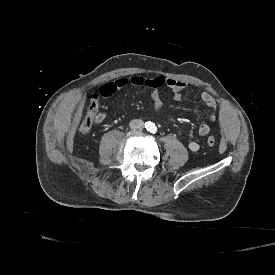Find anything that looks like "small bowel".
<instances>
[{"label":"small bowel","instance_id":"obj_1","mask_svg":"<svg viewBox=\"0 0 275 275\" xmlns=\"http://www.w3.org/2000/svg\"><path fill=\"white\" fill-rule=\"evenodd\" d=\"M160 82V85H166L170 87L173 92H174V97L173 99L175 101H179L182 97V91L186 88V83L181 81V80H176V79H171V78H164V77H159L151 80H145L141 76H132L129 79L126 78H118L113 81L104 83L98 91V96L102 97H107L115 93L116 91L122 89L128 84H131L133 86H149L152 88L151 91V99L153 102V107L154 111L158 112L161 110L163 106V101L162 97L157 90V87L159 86H154L153 82ZM97 97V95H96ZM201 101L204 103V105L209 109L210 114H209V120L210 121H215L217 117V103L215 98L207 93L203 92L200 95ZM210 132V125L207 122H202L199 127H198V134L200 136H206ZM189 149L191 151H197L199 149V144L196 141H191L189 143Z\"/></svg>","mask_w":275,"mask_h":275}]
</instances>
